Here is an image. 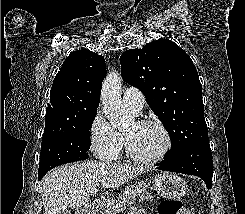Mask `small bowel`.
Returning a JSON list of instances; mask_svg holds the SVG:
<instances>
[{
	"label": "small bowel",
	"mask_w": 245,
	"mask_h": 214,
	"mask_svg": "<svg viewBox=\"0 0 245 214\" xmlns=\"http://www.w3.org/2000/svg\"><path fill=\"white\" fill-rule=\"evenodd\" d=\"M130 214H145L144 211L138 207H133Z\"/></svg>",
	"instance_id": "c3829d8e"
}]
</instances>
